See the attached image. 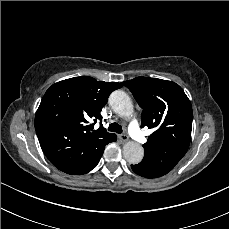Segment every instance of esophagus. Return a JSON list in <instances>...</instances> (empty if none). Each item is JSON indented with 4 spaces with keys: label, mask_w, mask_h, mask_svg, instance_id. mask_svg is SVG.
I'll use <instances>...</instances> for the list:
<instances>
[{
    "label": "esophagus",
    "mask_w": 229,
    "mask_h": 229,
    "mask_svg": "<svg viewBox=\"0 0 229 229\" xmlns=\"http://www.w3.org/2000/svg\"><path fill=\"white\" fill-rule=\"evenodd\" d=\"M119 139L122 143H125L129 140V137L125 134H121V135H119Z\"/></svg>",
    "instance_id": "esophagus-1"
}]
</instances>
